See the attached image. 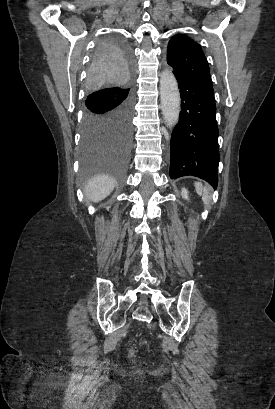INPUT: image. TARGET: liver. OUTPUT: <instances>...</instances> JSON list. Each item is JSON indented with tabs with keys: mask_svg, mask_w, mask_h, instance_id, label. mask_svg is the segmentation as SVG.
Segmentation results:
<instances>
[{
	"mask_svg": "<svg viewBox=\"0 0 275 409\" xmlns=\"http://www.w3.org/2000/svg\"><path fill=\"white\" fill-rule=\"evenodd\" d=\"M114 186L115 180L108 174H95L85 186L86 196L93 202H99L112 192Z\"/></svg>",
	"mask_w": 275,
	"mask_h": 409,
	"instance_id": "obj_1",
	"label": "liver"
}]
</instances>
